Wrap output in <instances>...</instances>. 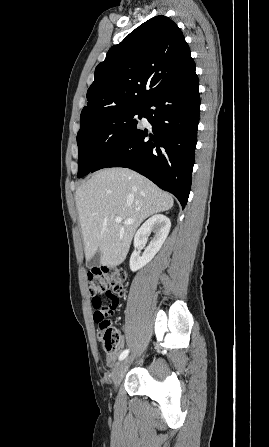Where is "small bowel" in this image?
<instances>
[{
  "label": "small bowel",
  "instance_id": "1",
  "mask_svg": "<svg viewBox=\"0 0 269 447\" xmlns=\"http://www.w3.org/2000/svg\"><path fill=\"white\" fill-rule=\"evenodd\" d=\"M124 343H125V338L123 337L121 339V346H123ZM117 356H118V352L108 354L105 358L106 365L109 367L112 366L115 363Z\"/></svg>",
  "mask_w": 269,
  "mask_h": 447
}]
</instances>
